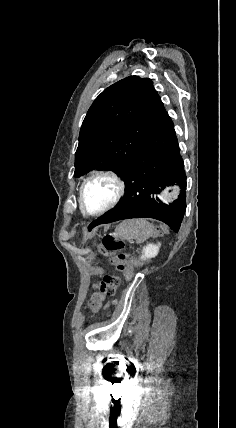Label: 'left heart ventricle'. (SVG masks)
Returning a JSON list of instances; mask_svg holds the SVG:
<instances>
[{
    "instance_id": "b2bd125f",
    "label": "left heart ventricle",
    "mask_w": 236,
    "mask_h": 428,
    "mask_svg": "<svg viewBox=\"0 0 236 428\" xmlns=\"http://www.w3.org/2000/svg\"><path fill=\"white\" fill-rule=\"evenodd\" d=\"M115 194V185L108 179H97L87 185L84 192L86 206L97 210L105 206Z\"/></svg>"
}]
</instances>
